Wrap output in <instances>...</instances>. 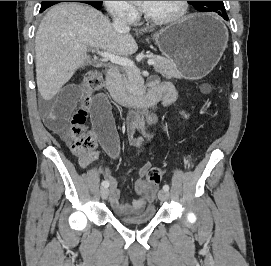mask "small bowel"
<instances>
[{
  "instance_id": "small-bowel-1",
  "label": "small bowel",
  "mask_w": 271,
  "mask_h": 266,
  "mask_svg": "<svg viewBox=\"0 0 271 266\" xmlns=\"http://www.w3.org/2000/svg\"><path fill=\"white\" fill-rule=\"evenodd\" d=\"M152 83H158L154 79ZM167 95L162 100L164 106L172 104L176 99V91L170 83H162ZM81 91L75 84L65 86L54 98L43 102L41 108L44 114V119L47 125L60 131L66 121L68 115L72 112L77 102L81 98ZM90 134L97 140L104 150L112 157H115L119 151V137L115 127L112 111L107 99L100 95L97 97L92 113V131ZM96 157V153H89L79 159L82 167H87ZM149 163L142 166L138 171V177L134 183V190L139 195V198L128 203H121L120 190L116 179L108 173L106 180L108 181L109 195L108 200L115 211L120 214L141 211L148 203H151L156 194L154 187L146 185L142 177L150 169Z\"/></svg>"
}]
</instances>
